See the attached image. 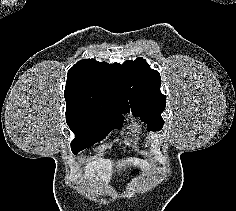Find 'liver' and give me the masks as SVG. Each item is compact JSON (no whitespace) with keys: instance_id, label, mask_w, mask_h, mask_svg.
<instances>
[{"instance_id":"obj_1","label":"liver","mask_w":236,"mask_h":211,"mask_svg":"<svg viewBox=\"0 0 236 211\" xmlns=\"http://www.w3.org/2000/svg\"><path fill=\"white\" fill-rule=\"evenodd\" d=\"M119 170L126 168V166H138L141 170L147 171L150 169V164L138 158L128 157L118 162L114 163V161L110 159L103 160H94L86 164L84 168V178L88 180H94V182L101 181L103 179L104 184H102L105 188L108 187V182L110 181V176L113 173V166H115Z\"/></svg>"}]
</instances>
